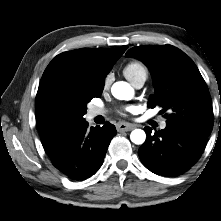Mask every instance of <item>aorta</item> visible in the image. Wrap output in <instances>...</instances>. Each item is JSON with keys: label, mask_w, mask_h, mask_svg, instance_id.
Returning a JSON list of instances; mask_svg holds the SVG:
<instances>
[{"label": "aorta", "mask_w": 221, "mask_h": 221, "mask_svg": "<svg viewBox=\"0 0 221 221\" xmlns=\"http://www.w3.org/2000/svg\"><path fill=\"white\" fill-rule=\"evenodd\" d=\"M112 95L119 100H131L134 95V90L129 83L118 81L112 85ZM131 141L136 145H141L146 140V134L142 129H135L130 134Z\"/></svg>", "instance_id": "obj_1"}]
</instances>
